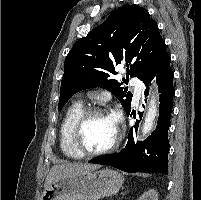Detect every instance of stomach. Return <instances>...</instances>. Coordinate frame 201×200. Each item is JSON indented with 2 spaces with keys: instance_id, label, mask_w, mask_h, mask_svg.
<instances>
[{
  "instance_id": "stomach-1",
  "label": "stomach",
  "mask_w": 201,
  "mask_h": 200,
  "mask_svg": "<svg viewBox=\"0 0 201 200\" xmlns=\"http://www.w3.org/2000/svg\"><path fill=\"white\" fill-rule=\"evenodd\" d=\"M123 178L117 171H83L63 177L43 192L41 200H99L115 195Z\"/></svg>"
}]
</instances>
